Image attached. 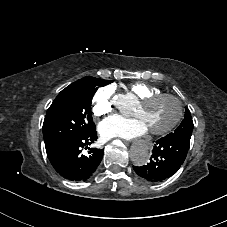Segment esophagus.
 I'll list each match as a JSON object with an SVG mask.
<instances>
[{"label":"esophagus","mask_w":227,"mask_h":227,"mask_svg":"<svg viewBox=\"0 0 227 227\" xmlns=\"http://www.w3.org/2000/svg\"><path fill=\"white\" fill-rule=\"evenodd\" d=\"M142 146H144L145 148H149V149H154L155 148V143L152 142L151 137L149 136L147 140L142 142Z\"/></svg>","instance_id":"1"}]
</instances>
